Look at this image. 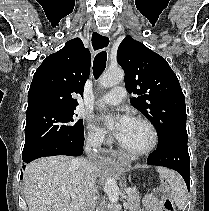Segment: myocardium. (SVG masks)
<instances>
[{
  "label": "myocardium",
  "mask_w": 209,
  "mask_h": 211,
  "mask_svg": "<svg viewBox=\"0 0 209 211\" xmlns=\"http://www.w3.org/2000/svg\"><path fill=\"white\" fill-rule=\"evenodd\" d=\"M134 121L146 127L149 134L148 143L143 148H140V149H130V148L125 147L121 143H119V147L123 152L131 156H144L151 153L155 149L158 142L157 131L153 123L144 117H140V116L135 117Z\"/></svg>",
  "instance_id": "myocardium-1"
}]
</instances>
